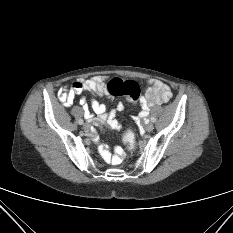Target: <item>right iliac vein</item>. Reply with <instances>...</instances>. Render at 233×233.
Masks as SVG:
<instances>
[{"label": "right iliac vein", "mask_w": 233, "mask_h": 233, "mask_svg": "<svg viewBox=\"0 0 233 233\" xmlns=\"http://www.w3.org/2000/svg\"><path fill=\"white\" fill-rule=\"evenodd\" d=\"M83 129L84 130H89L90 129V125L88 123H84L83 124Z\"/></svg>", "instance_id": "right-iliac-vein-1"}]
</instances>
